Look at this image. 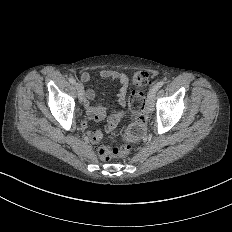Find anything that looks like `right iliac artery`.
Masks as SVG:
<instances>
[{
  "instance_id": "1",
  "label": "right iliac artery",
  "mask_w": 232,
  "mask_h": 232,
  "mask_svg": "<svg viewBox=\"0 0 232 232\" xmlns=\"http://www.w3.org/2000/svg\"><path fill=\"white\" fill-rule=\"evenodd\" d=\"M69 82H70L71 84H73V85L76 84V80H75L73 77H70V78H69Z\"/></svg>"
}]
</instances>
